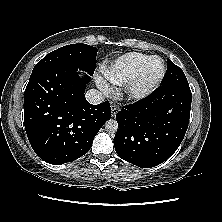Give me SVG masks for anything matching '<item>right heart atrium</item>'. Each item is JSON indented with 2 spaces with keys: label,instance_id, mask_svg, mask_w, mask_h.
Listing matches in <instances>:
<instances>
[{
  "label": "right heart atrium",
  "instance_id": "right-heart-atrium-1",
  "mask_svg": "<svg viewBox=\"0 0 222 222\" xmlns=\"http://www.w3.org/2000/svg\"><path fill=\"white\" fill-rule=\"evenodd\" d=\"M97 84L105 92H109L110 91L109 85L107 84V82L105 80H103L101 78H98L97 79Z\"/></svg>",
  "mask_w": 222,
  "mask_h": 222
}]
</instances>
